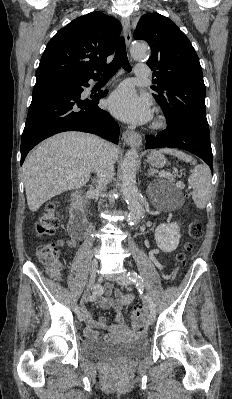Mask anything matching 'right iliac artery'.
Masks as SVG:
<instances>
[{
	"label": "right iliac artery",
	"mask_w": 232,
	"mask_h": 399,
	"mask_svg": "<svg viewBox=\"0 0 232 399\" xmlns=\"http://www.w3.org/2000/svg\"><path fill=\"white\" fill-rule=\"evenodd\" d=\"M95 297H96V296H95L94 294H90V295H89V300H94ZM74 311H75L76 314H79V312H80L79 306H76L75 309H74Z\"/></svg>",
	"instance_id": "82829eb1"
}]
</instances>
